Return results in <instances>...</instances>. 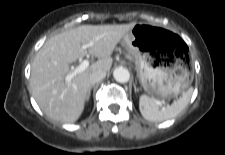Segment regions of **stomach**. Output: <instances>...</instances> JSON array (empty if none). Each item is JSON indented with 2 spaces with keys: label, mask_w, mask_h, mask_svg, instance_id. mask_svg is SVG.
Segmentation results:
<instances>
[{
  "label": "stomach",
  "mask_w": 225,
  "mask_h": 155,
  "mask_svg": "<svg viewBox=\"0 0 225 155\" xmlns=\"http://www.w3.org/2000/svg\"><path fill=\"white\" fill-rule=\"evenodd\" d=\"M176 35L159 26L138 23L124 36L135 59L144 90L151 96L169 99L191 84V73L179 53Z\"/></svg>",
  "instance_id": "stomach-1"
}]
</instances>
